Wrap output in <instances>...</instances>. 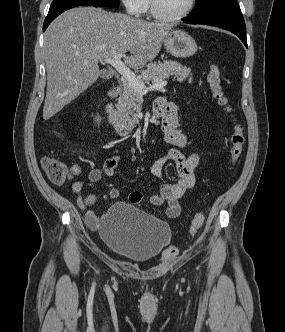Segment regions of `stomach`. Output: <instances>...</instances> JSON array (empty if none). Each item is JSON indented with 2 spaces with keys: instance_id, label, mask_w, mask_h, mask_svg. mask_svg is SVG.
Returning <instances> with one entry per match:
<instances>
[{
  "instance_id": "stomach-1",
  "label": "stomach",
  "mask_w": 285,
  "mask_h": 332,
  "mask_svg": "<svg viewBox=\"0 0 285 332\" xmlns=\"http://www.w3.org/2000/svg\"><path fill=\"white\" fill-rule=\"evenodd\" d=\"M166 50L174 57L187 58L197 51V44L193 37L181 30H175L168 34L164 41Z\"/></svg>"
}]
</instances>
